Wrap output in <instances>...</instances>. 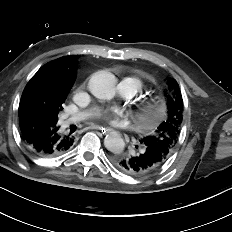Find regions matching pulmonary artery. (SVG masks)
<instances>
[{"instance_id":"obj_1","label":"pulmonary artery","mask_w":232,"mask_h":232,"mask_svg":"<svg viewBox=\"0 0 232 232\" xmlns=\"http://www.w3.org/2000/svg\"><path fill=\"white\" fill-rule=\"evenodd\" d=\"M139 89V85L131 78H124L119 84V92L125 97H133L139 91ZM90 114L91 111L89 110L74 114L63 121V126L68 127L70 124L82 121L86 119Z\"/></svg>"}]
</instances>
